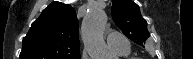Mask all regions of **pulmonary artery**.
Listing matches in <instances>:
<instances>
[{"label": "pulmonary artery", "instance_id": "1", "mask_svg": "<svg viewBox=\"0 0 193 59\" xmlns=\"http://www.w3.org/2000/svg\"><path fill=\"white\" fill-rule=\"evenodd\" d=\"M107 42L109 46L120 53H126L130 51V46L125 42V37L113 31L107 32Z\"/></svg>", "mask_w": 193, "mask_h": 59}]
</instances>
